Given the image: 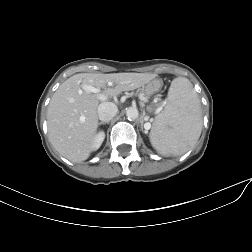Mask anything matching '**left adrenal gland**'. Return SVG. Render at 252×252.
I'll use <instances>...</instances> for the list:
<instances>
[{
  "label": "left adrenal gland",
  "instance_id": "obj_1",
  "mask_svg": "<svg viewBox=\"0 0 252 252\" xmlns=\"http://www.w3.org/2000/svg\"><path fill=\"white\" fill-rule=\"evenodd\" d=\"M141 128H142V131H143L144 133H146V134L148 133L147 130H143V124H142Z\"/></svg>",
  "mask_w": 252,
  "mask_h": 252
}]
</instances>
